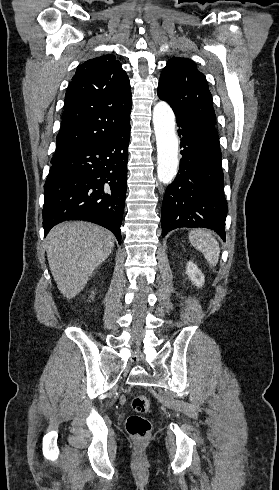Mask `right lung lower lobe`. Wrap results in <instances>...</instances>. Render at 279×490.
<instances>
[{"mask_svg":"<svg viewBox=\"0 0 279 490\" xmlns=\"http://www.w3.org/2000/svg\"><path fill=\"white\" fill-rule=\"evenodd\" d=\"M130 126L91 147L52 161L44 185L45 236L65 220H84L114 233L121 244Z\"/></svg>","mask_w":279,"mask_h":490,"instance_id":"98d812e1","label":"right lung lower lobe"}]
</instances>
